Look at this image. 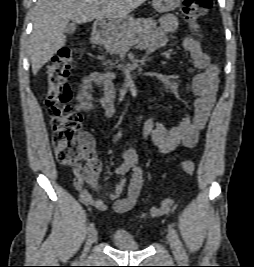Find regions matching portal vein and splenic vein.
I'll return each mask as SVG.
<instances>
[{"label":"portal vein and splenic vein","instance_id":"18ae733b","mask_svg":"<svg viewBox=\"0 0 254 267\" xmlns=\"http://www.w3.org/2000/svg\"><path fill=\"white\" fill-rule=\"evenodd\" d=\"M100 8H101V7L98 6V9H100ZM138 42H139V39H138V38L132 39L127 45H125V48H127L128 46L137 44Z\"/></svg>","mask_w":254,"mask_h":267}]
</instances>
